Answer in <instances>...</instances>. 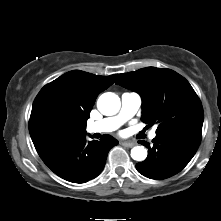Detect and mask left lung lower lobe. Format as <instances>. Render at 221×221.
<instances>
[{
    "label": "left lung lower lobe",
    "instance_id": "0a47b994",
    "mask_svg": "<svg viewBox=\"0 0 221 221\" xmlns=\"http://www.w3.org/2000/svg\"><path fill=\"white\" fill-rule=\"evenodd\" d=\"M201 130L176 129L156 135L153 146L140 141L148 148L147 158L136 164L140 174L151 179H166L180 172L196 153Z\"/></svg>",
    "mask_w": 221,
    "mask_h": 221
}]
</instances>
